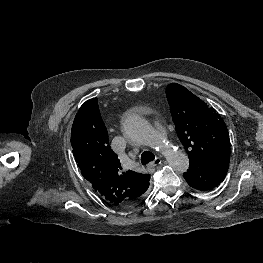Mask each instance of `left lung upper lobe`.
<instances>
[{"label": "left lung upper lobe", "instance_id": "obj_1", "mask_svg": "<svg viewBox=\"0 0 263 263\" xmlns=\"http://www.w3.org/2000/svg\"><path fill=\"white\" fill-rule=\"evenodd\" d=\"M166 97L190 164L205 167L229 165L230 139L219 114L177 83L167 86Z\"/></svg>", "mask_w": 263, "mask_h": 263}]
</instances>
